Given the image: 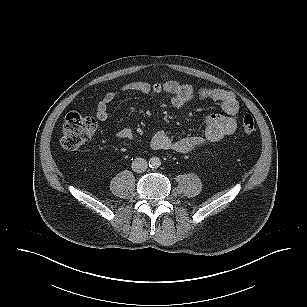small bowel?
I'll list each match as a JSON object with an SVG mask.
<instances>
[{
	"label": "small bowel",
	"mask_w": 307,
	"mask_h": 307,
	"mask_svg": "<svg viewBox=\"0 0 307 307\" xmlns=\"http://www.w3.org/2000/svg\"><path fill=\"white\" fill-rule=\"evenodd\" d=\"M137 93L144 96H169L170 104L177 109L185 107L194 99L211 100L219 104L224 114H211L205 119L203 136H186L173 138L164 131H158L151 139L150 145L156 150H170L178 153H189L205 143L217 142L225 136L235 132L240 110L235 94L229 90L216 88L196 89L188 83L168 80L163 83H148L134 81L122 85L119 89L107 92L99 101L96 117L99 121H106L109 116V105L120 95ZM118 138L130 139L131 129L125 128L118 132Z\"/></svg>",
	"instance_id": "small-bowel-1"
}]
</instances>
